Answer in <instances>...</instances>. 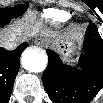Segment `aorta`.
<instances>
[{
  "label": "aorta",
  "instance_id": "aorta-1",
  "mask_svg": "<svg viewBox=\"0 0 103 103\" xmlns=\"http://www.w3.org/2000/svg\"><path fill=\"white\" fill-rule=\"evenodd\" d=\"M48 58L44 52L27 49L22 54V65L30 72H42L47 66Z\"/></svg>",
  "mask_w": 103,
  "mask_h": 103
}]
</instances>
